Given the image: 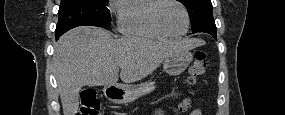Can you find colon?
I'll use <instances>...</instances> for the list:
<instances>
[{"mask_svg": "<svg viewBox=\"0 0 285 115\" xmlns=\"http://www.w3.org/2000/svg\"><path fill=\"white\" fill-rule=\"evenodd\" d=\"M207 67L206 55L203 52H196L194 60L189 67L188 81L195 84L204 74ZM189 107V100L181 104V109L186 110ZM100 109V102L93 90H85L81 95V105L78 111L79 115H97Z\"/></svg>", "mask_w": 285, "mask_h": 115, "instance_id": "obj_1", "label": "colon"}]
</instances>
